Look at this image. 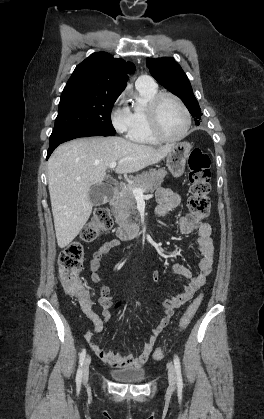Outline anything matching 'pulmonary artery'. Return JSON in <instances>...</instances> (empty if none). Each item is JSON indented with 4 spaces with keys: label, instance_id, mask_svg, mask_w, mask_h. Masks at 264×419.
<instances>
[{
    "label": "pulmonary artery",
    "instance_id": "pulmonary-artery-1",
    "mask_svg": "<svg viewBox=\"0 0 264 419\" xmlns=\"http://www.w3.org/2000/svg\"><path fill=\"white\" fill-rule=\"evenodd\" d=\"M136 84L137 85H153L155 84V82L150 76L142 75L138 77Z\"/></svg>",
    "mask_w": 264,
    "mask_h": 419
}]
</instances>
